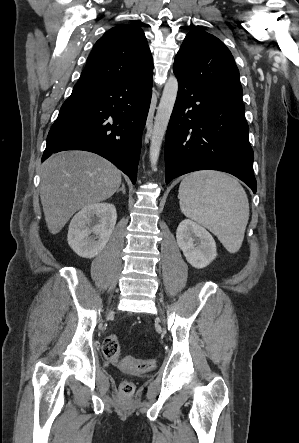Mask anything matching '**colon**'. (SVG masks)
<instances>
[{"label":"colon","mask_w":299,"mask_h":443,"mask_svg":"<svg viewBox=\"0 0 299 443\" xmlns=\"http://www.w3.org/2000/svg\"><path fill=\"white\" fill-rule=\"evenodd\" d=\"M102 352L104 356L112 361H119L121 367L131 373H144L155 367V360H136L127 356L120 360V343L115 335H107L102 340ZM135 390V385L131 381H123L119 386L120 393L125 397H130Z\"/></svg>","instance_id":"colon-1"}]
</instances>
